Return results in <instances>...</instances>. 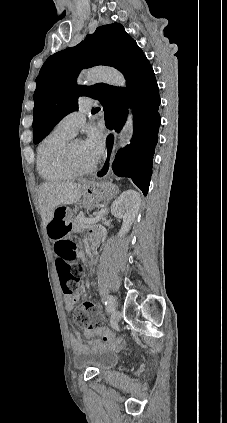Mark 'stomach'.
Wrapping results in <instances>:
<instances>
[{"mask_svg":"<svg viewBox=\"0 0 227 423\" xmlns=\"http://www.w3.org/2000/svg\"><path fill=\"white\" fill-rule=\"evenodd\" d=\"M82 208H93L96 202H102V200H110L115 194H117L116 186L110 184V182H88L83 184L82 188Z\"/></svg>","mask_w":227,"mask_h":423,"instance_id":"stomach-1","label":"stomach"}]
</instances>
